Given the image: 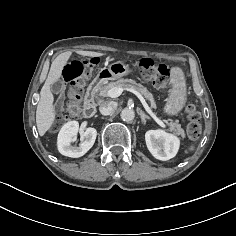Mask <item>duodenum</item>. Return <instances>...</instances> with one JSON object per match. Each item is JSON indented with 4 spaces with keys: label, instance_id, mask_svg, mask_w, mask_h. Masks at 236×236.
Segmentation results:
<instances>
[{
    "label": "duodenum",
    "instance_id": "1",
    "mask_svg": "<svg viewBox=\"0 0 236 236\" xmlns=\"http://www.w3.org/2000/svg\"><path fill=\"white\" fill-rule=\"evenodd\" d=\"M106 79V75H100L95 78L88 86L83 105V116L86 119L94 118L96 114V100L95 96L100 84Z\"/></svg>",
    "mask_w": 236,
    "mask_h": 236
}]
</instances>
